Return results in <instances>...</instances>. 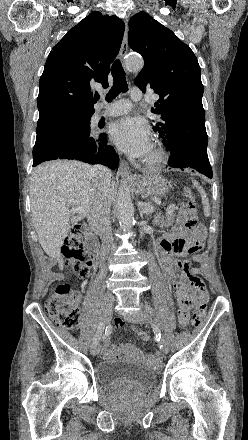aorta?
<instances>
[{
    "instance_id": "1",
    "label": "aorta",
    "mask_w": 248,
    "mask_h": 440,
    "mask_svg": "<svg viewBox=\"0 0 248 440\" xmlns=\"http://www.w3.org/2000/svg\"><path fill=\"white\" fill-rule=\"evenodd\" d=\"M143 65V59L138 56H130L125 61V66L129 71H140L143 68ZM116 210L120 227L123 230H130L134 225V206L127 180H123L119 188L116 200Z\"/></svg>"
}]
</instances>
